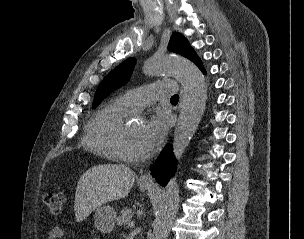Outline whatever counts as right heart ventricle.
Instances as JSON below:
<instances>
[{"label":"right heart ventricle","mask_w":304,"mask_h":239,"mask_svg":"<svg viewBox=\"0 0 304 239\" xmlns=\"http://www.w3.org/2000/svg\"><path fill=\"white\" fill-rule=\"evenodd\" d=\"M133 110L120 99L100 108L88 121L83 135L84 147L110 161H122L117 147L125 117Z\"/></svg>","instance_id":"e07e8e85"}]
</instances>
